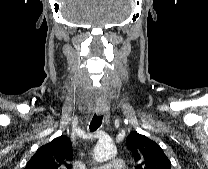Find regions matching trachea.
<instances>
[{"label": "trachea", "instance_id": "3493384b", "mask_svg": "<svg viewBox=\"0 0 208 169\" xmlns=\"http://www.w3.org/2000/svg\"><path fill=\"white\" fill-rule=\"evenodd\" d=\"M102 120H103V115L94 114L92 121L90 123V126H89L90 131L91 132L96 131L101 126Z\"/></svg>", "mask_w": 208, "mask_h": 169}]
</instances>
